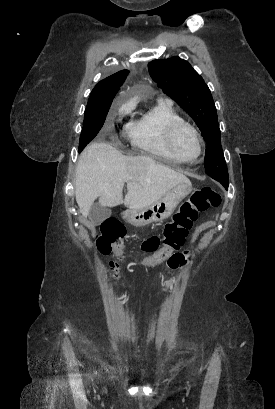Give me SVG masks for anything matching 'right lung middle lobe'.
<instances>
[{
  "mask_svg": "<svg viewBox=\"0 0 275 409\" xmlns=\"http://www.w3.org/2000/svg\"><path fill=\"white\" fill-rule=\"evenodd\" d=\"M106 70L108 72H114L116 67L114 65H108ZM109 108L110 105L104 107H86L83 128L80 136L79 153L98 134L105 122Z\"/></svg>",
  "mask_w": 275,
  "mask_h": 409,
  "instance_id": "obj_1",
  "label": "right lung middle lobe"
}]
</instances>
